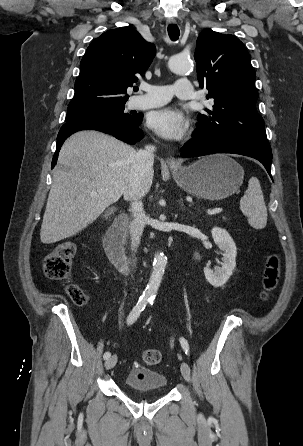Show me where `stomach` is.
Wrapping results in <instances>:
<instances>
[{"label":"stomach","instance_id":"stomach-1","mask_svg":"<svg viewBox=\"0 0 303 446\" xmlns=\"http://www.w3.org/2000/svg\"><path fill=\"white\" fill-rule=\"evenodd\" d=\"M171 171L180 188L208 200L233 195L244 179L242 166L224 154L206 156L185 167H171Z\"/></svg>","mask_w":303,"mask_h":446}]
</instances>
